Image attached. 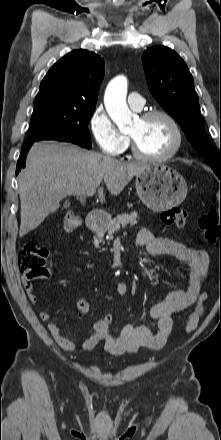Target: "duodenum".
Segmentation results:
<instances>
[{"label":"duodenum","mask_w":221,"mask_h":440,"mask_svg":"<svg viewBox=\"0 0 221 440\" xmlns=\"http://www.w3.org/2000/svg\"><path fill=\"white\" fill-rule=\"evenodd\" d=\"M108 217L98 211H92L88 214L86 223L89 229H98L107 223Z\"/></svg>","instance_id":"duodenum-1"}]
</instances>
